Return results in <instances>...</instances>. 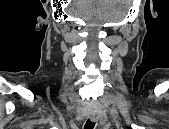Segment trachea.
I'll use <instances>...</instances> for the list:
<instances>
[{
    "mask_svg": "<svg viewBox=\"0 0 169 129\" xmlns=\"http://www.w3.org/2000/svg\"><path fill=\"white\" fill-rule=\"evenodd\" d=\"M95 123H93L90 119H88L84 125V129H93Z\"/></svg>",
    "mask_w": 169,
    "mask_h": 129,
    "instance_id": "obj_1",
    "label": "trachea"
}]
</instances>
